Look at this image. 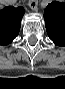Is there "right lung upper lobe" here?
Here are the masks:
<instances>
[{
    "mask_svg": "<svg viewBox=\"0 0 65 89\" xmlns=\"http://www.w3.org/2000/svg\"><path fill=\"white\" fill-rule=\"evenodd\" d=\"M23 7H5L0 10V45L10 44L20 31Z\"/></svg>",
    "mask_w": 65,
    "mask_h": 89,
    "instance_id": "1",
    "label": "right lung upper lobe"
}]
</instances>
